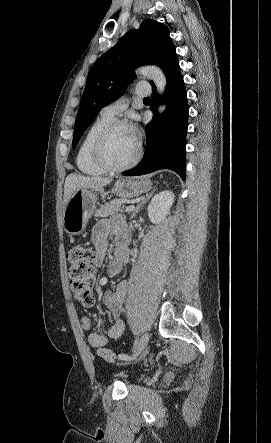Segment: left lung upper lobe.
Returning <instances> with one entry per match:
<instances>
[{
  "label": "left lung upper lobe",
  "instance_id": "obj_1",
  "mask_svg": "<svg viewBox=\"0 0 271 443\" xmlns=\"http://www.w3.org/2000/svg\"><path fill=\"white\" fill-rule=\"evenodd\" d=\"M169 29L152 19L130 30L91 68L78 110L72 145L80 140L102 107L117 100L135 78V68L157 65L174 48Z\"/></svg>",
  "mask_w": 271,
  "mask_h": 443
}]
</instances>
